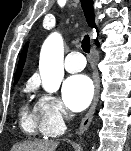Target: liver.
Wrapping results in <instances>:
<instances>
[{
    "label": "liver",
    "instance_id": "1",
    "mask_svg": "<svg viewBox=\"0 0 131 151\" xmlns=\"http://www.w3.org/2000/svg\"><path fill=\"white\" fill-rule=\"evenodd\" d=\"M57 146L55 141H34L16 145L12 151H55Z\"/></svg>",
    "mask_w": 131,
    "mask_h": 151
}]
</instances>
